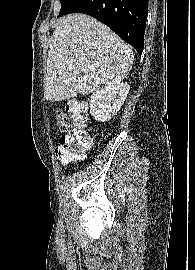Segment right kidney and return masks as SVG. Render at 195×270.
<instances>
[{
    "label": "right kidney",
    "instance_id": "ca27d5eb",
    "mask_svg": "<svg viewBox=\"0 0 195 270\" xmlns=\"http://www.w3.org/2000/svg\"><path fill=\"white\" fill-rule=\"evenodd\" d=\"M127 83L107 86L92 94L90 98V113L96 121H109L121 108L129 93Z\"/></svg>",
    "mask_w": 195,
    "mask_h": 270
}]
</instances>
